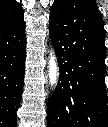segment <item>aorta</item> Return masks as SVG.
Masks as SVG:
<instances>
[{
    "label": "aorta",
    "instance_id": "1",
    "mask_svg": "<svg viewBox=\"0 0 108 127\" xmlns=\"http://www.w3.org/2000/svg\"><path fill=\"white\" fill-rule=\"evenodd\" d=\"M49 58H50L49 59V82L51 86H55L58 81V65H57L54 50L50 51Z\"/></svg>",
    "mask_w": 108,
    "mask_h": 127
}]
</instances>
